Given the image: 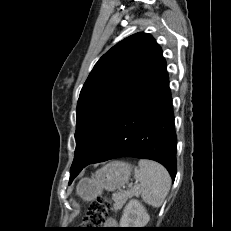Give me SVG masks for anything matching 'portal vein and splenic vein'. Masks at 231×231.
<instances>
[{
  "label": "portal vein and splenic vein",
  "mask_w": 231,
  "mask_h": 231,
  "mask_svg": "<svg viewBox=\"0 0 231 231\" xmlns=\"http://www.w3.org/2000/svg\"><path fill=\"white\" fill-rule=\"evenodd\" d=\"M137 187H138V186H136V185L134 186V188H137Z\"/></svg>",
  "instance_id": "obj_1"
}]
</instances>
